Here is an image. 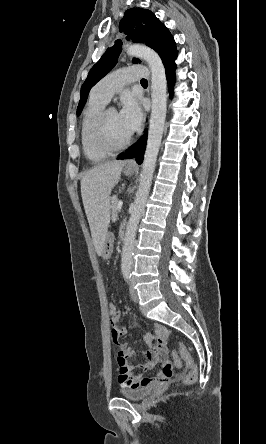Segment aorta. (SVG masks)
Segmentation results:
<instances>
[{"instance_id": "aorta-1", "label": "aorta", "mask_w": 266, "mask_h": 444, "mask_svg": "<svg viewBox=\"0 0 266 444\" xmlns=\"http://www.w3.org/2000/svg\"><path fill=\"white\" fill-rule=\"evenodd\" d=\"M127 53L148 63L151 71L152 108L139 189L136 193L124 238L121 258V270L124 275H129L132 268L137 227L141 216L145 212V204L152 184L167 111L166 74L159 55L150 47L139 44L130 45L127 48Z\"/></svg>"}]
</instances>
